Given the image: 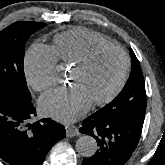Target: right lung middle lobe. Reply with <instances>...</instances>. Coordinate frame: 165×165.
Instances as JSON below:
<instances>
[{"mask_svg":"<svg viewBox=\"0 0 165 165\" xmlns=\"http://www.w3.org/2000/svg\"><path fill=\"white\" fill-rule=\"evenodd\" d=\"M45 23L18 21L0 32V93L31 100L23 69L25 43Z\"/></svg>","mask_w":165,"mask_h":165,"instance_id":"dd1d6c3e","label":"right lung middle lobe"}]
</instances>
